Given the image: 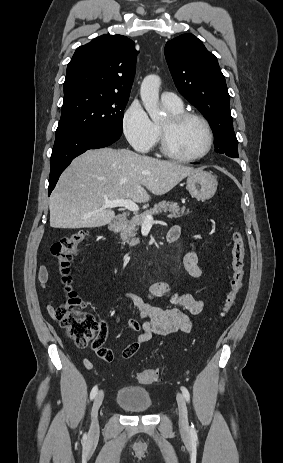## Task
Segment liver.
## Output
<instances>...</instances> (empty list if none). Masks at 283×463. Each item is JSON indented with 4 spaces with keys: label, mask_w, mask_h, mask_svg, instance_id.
<instances>
[{
    "label": "liver",
    "mask_w": 283,
    "mask_h": 463,
    "mask_svg": "<svg viewBox=\"0 0 283 463\" xmlns=\"http://www.w3.org/2000/svg\"><path fill=\"white\" fill-rule=\"evenodd\" d=\"M201 169L140 155L127 149L88 150L62 173L50 196V226L94 228L115 218L104 200L132 199L137 203L163 195Z\"/></svg>",
    "instance_id": "1"
}]
</instances>
